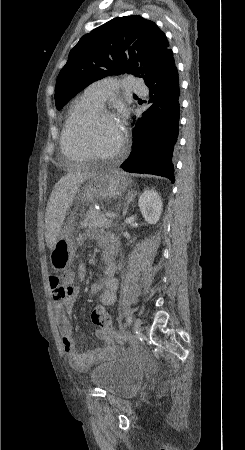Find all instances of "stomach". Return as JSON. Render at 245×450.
Instances as JSON below:
<instances>
[{
  "label": "stomach",
  "instance_id": "1",
  "mask_svg": "<svg viewBox=\"0 0 245 450\" xmlns=\"http://www.w3.org/2000/svg\"><path fill=\"white\" fill-rule=\"evenodd\" d=\"M129 183V180L119 172L99 171L90 176L79 188L78 195L75 198L74 210L69 214L51 250L50 262L54 270H66L74 261L75 248L72 236L75 230V214L80 207L94 199L119 197Z\"/></svg>",
  "mask_w": 245,
  "mask_h": 450
}]
</instances>
